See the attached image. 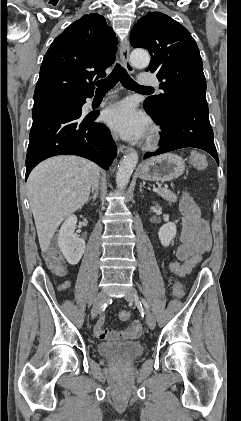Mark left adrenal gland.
Returning <instances> with one entry per match:
<instances>
[{
    "mask_svg": "<svg viewBox=\"0 0 241 421\" xmlns=\"http://www.w3.org/2000/svg\"><path fill=\"white\" fill-rule=\"evenodd\" d=\"M145 186V183H140V192H142V188Z\"/></svg>",
    "mask_w": 241,
    "mask_h": 421,
    "instance_id": "left-adrenal-gland-1",
    "label": "left adrenal gland"
}]
</instances>
